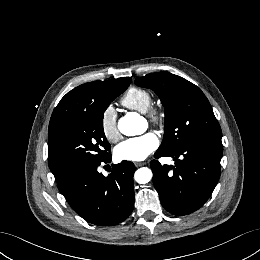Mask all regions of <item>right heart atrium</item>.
<instances>
[{"label":"right heart atrium","instance_id":"obj_1","mask_svg":"<svg viewBox=\"0 0 260 260\" xmlns=\"http://www.w3.org/2000/svg\"><path fill=\"white\" fill-rule=\"evenodd\" d=\"M101 129L109 141H116L119 138L117 128V113L113 106H107L101 114Z\"/></svg>","mask_w":260,"mask_h":260}]
</instances>
